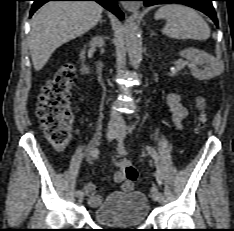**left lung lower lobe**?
<instances>
[{
  "instance_id": "1",
  "label": "left lung lower lobe",
  "mask_w": 234,
  "mask_h": 231,
  "mask_svg": "<svg viewBox=\"0 0 234 231\" xmlns=\"http://www.w3.org/2000/svg\"><path fill=\"white\" fill-rule=\"evenodd\" d=\"M139 1H144L145 6L164 4V3H181L205 13L214 21L216 26H218L216 13L212 5L213 0H139Z\"/></svg>"
}]
</instances>
